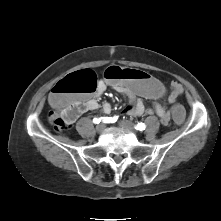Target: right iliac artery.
Listing matches in <instances>:
<instances>
[{"label": "right iliac artery", "mask_w": 221, "mask_h": 221, "mask_svg": "<svg viewBox=\"0 0 221 221\" xmlns=\"http://www.w3.org/2000/svg\"><path fill=\"white\" fill-rule=\"evenodd\" d=\"M117 118H118V116H117V117H116V116H115V117H111V118H110V117H107L106 120H105V118H103V121H104V122H110V121H111V122H115V121L117 120ZM101 120H102V119H100V118H94V119H93V122H94L95 124H98V123L101 122Z\"/></svg>", "instance_id": "82829eb1"}]
</instances>
